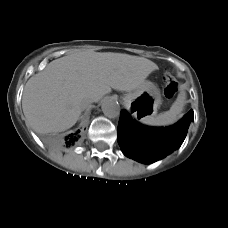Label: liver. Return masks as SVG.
Instances as JSON below:
<instances>
[{"mask_svg":"<svg viewBox=\"0 0 228 228\" xmlns=\"http://www.w3.org/2000/svg\"><path fill=\"white\" fill-rule=\"evenodd\" d=\"M157 68L146 58L111 52L76 53L53 60L25 85L26 122L37 133L67 130L79 119L83 98L98 102L111 88L133 91Z\"/></svg>","mask_w":228,"mask_h":228,"instance_id":"6515ba94","label":"liver"}]
</instances>
